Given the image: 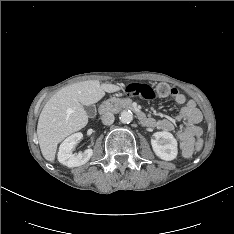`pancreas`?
<instances>
[{"label": "pancreas", "mask_w": 234, "mask_h": 234, "mask_svg": "<svg viewBox=\"0 0 234 234\" xmlns=\"http://www.w3.org/2000/svg\"><path fill=\"white\" fill-rule=\"evenodd\" d=\"M115 99H109L104 103V111H113L115 108Z\"/></svg>", "instance_id": "1"}]
</instances>
